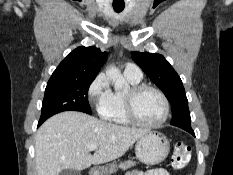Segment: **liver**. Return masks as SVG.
Instances as JSON below:
<instances>
[{
  "mask_svg": "<svg viewBox=\"0 0 233 175\" xmlns=\"http://www.w3.org/2000/svg\"><path fill=\"white\" fill-rule=\"evenodd\" d=\"M146 129L103 122L85 113L66 111L45 121L37 131L35 163L38 175H59L62 170H84L115 160ZM98 145L91 155L89 146Z\"/></svg>",
  "mask_w": 233,
  "mask_h": 175,
  "instance_id": "1",
  "label": "liver"
}]
</instances>
